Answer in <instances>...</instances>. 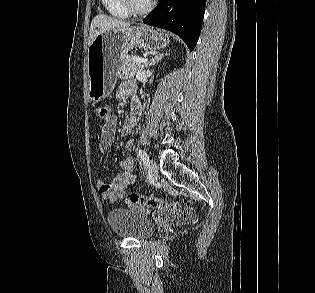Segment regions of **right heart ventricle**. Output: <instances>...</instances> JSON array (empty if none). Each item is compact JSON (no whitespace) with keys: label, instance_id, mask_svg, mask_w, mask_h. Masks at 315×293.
Here are the masks:
<instances>
[{"label":"right heart ventricle","instance_id":"right-heart-ventricle-1","mask_svg":"<svg viewBox=\"0 0 315 293\" xmlns=\"http://www.w3.org/2000/svg\"><path fill=\"white\" fill-rule=\"evenodd\" d=\"M101 4L108 15L117 19H126L130 16L120 0H101Z\"/></svg>","mask_w":315,"mask_h":293}]
</instances>
